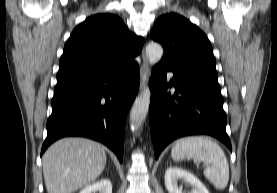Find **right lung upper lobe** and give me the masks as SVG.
Returning <instances> with one entry per match:
<instances>
[{"mask_svg": "<svg viewBox=\"0 0 277 193\" xmlns=\"http://www.w3.org/2000/svg\"><path fill=\"white\" fill-rule=\"evenodd\" d=\"M144 44L113 14L88 17L72 32L59 62L57 84L101 76L133 61Z\"/></svg>", "mask_w": 277, "mask_h": 193, "instance_id": "1", "label": "right lung upper lobe"}]
</instances>
